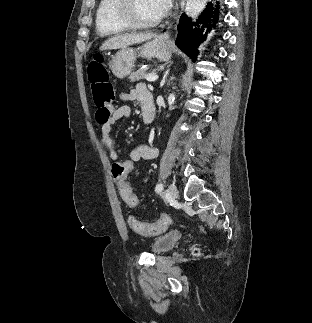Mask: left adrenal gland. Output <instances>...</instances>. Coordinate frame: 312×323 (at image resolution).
I'll list each match as a JSON object with an SVG mask.
<instances>
[{"label":"left adrenal gland","mask_w":312,"mask_h":323,"mask_svg":"<svg viewBox=\"0 0 312 323\" xmlns=\"http://www.w3.org/2000/svg\"><path fill=\"white\" fill-rule=\"evenodd\" d=\"M169 68H170V66H168V70H167V72H165V74H164V78H167V76H168V72H169ZM162 84H165V82H162Z\"/></svg>","instance_id":"a2214340"}]
</instances>
